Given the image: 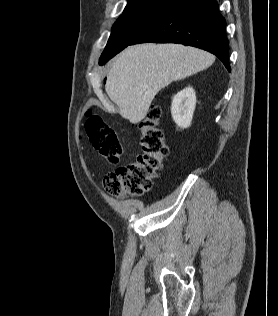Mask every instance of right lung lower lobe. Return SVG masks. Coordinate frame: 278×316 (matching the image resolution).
Wrapping results in <instances>:
<instances>
[{"label": "right lung lower lobe", "mask_w": 278, "mask_h": 316, "mask_svg": "<svg viewBox=\"0 0 278 316\" xmlns=\"http://www.w3.org/2000/svg\"><path fill=\"white\" fill-rule=\"evenodd\" d=\"M225 29V19L215 0H169L130 45L153 42L194 46L216 55L230 71L229 41Z\"/></svg>", "instance_id": "obj_1"}]
</instances>
